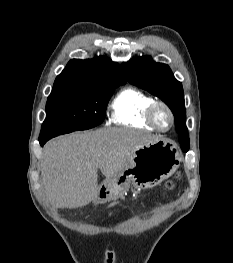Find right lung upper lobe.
Instances as JSON below:
<instances>
[{"label":"right lung upper lobe","mask_w":233,"mask_h":263,"mask_svg":"<svg viewBox=\"0 0 233 263\" xmlns=\"http://www.w3.org/2000/svg\"><path fill=\"white\" fill-rule=\"evenodd\" d=\"M126 81L118 63L105 56L72 59L57 76L50 96L68 93H92L118 87Z\"/></svg>","instance_id":"obj_1"}]
</instances>
